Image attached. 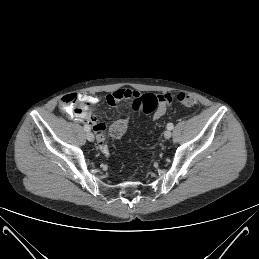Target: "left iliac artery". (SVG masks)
Listing matches in <instances>:
<instances>
[{
    "label": "left iliac artery",
    "mask_w": 259,
    "mask_h": 259,
    "mask_svg": "<svg viewBox=\"0 0 259 259\" xmlns=\"http://www.w3.org/2000/svg\"><path fill=\"white\" fill-rule=\"evenodd\" d=\"M173 128H174L173 123H168L167 124V129L172 130Z\"/></svg>",
    "instance_id": "obj_1"
}]
</instances>
